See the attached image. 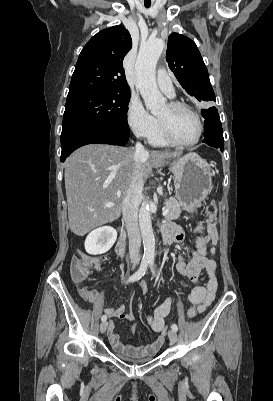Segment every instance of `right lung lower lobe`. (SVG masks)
<instances>
[{
  "label": "right lung lower lobe",
  "instance_id": "1",
  "mask_svg": "<svg viewBox=\"0 0 273 401\" xmlns=\"http://www.w3.org/2000/svg\"><path fill=\"white\" fill-rule=\"evenodd\" d=\"M129 138V130L120 128H105L91 124H72L62 129L61 133V161L77 148L93 143L123 146Z\"/></svg>",
  "mask_w": 273,
  "mask_h": 401
}]
</instances>
